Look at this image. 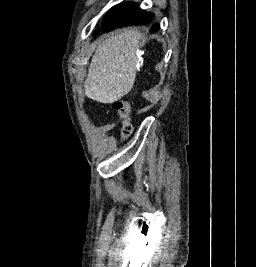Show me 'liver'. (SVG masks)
<instances>
[{
	"mask_svg": "<svg viewBox=\"0 0 256 267\" xmlns=\"http://www.w3.org/2000/svg\"><path fill=\"white\" fill-rule=\"evenodd\" d=\"M140 38L137 30L127 28L99 44L84 82L87 98L113 104L131 92L140 60Z\"/></svg>",
	"mask_w": 256,
	"mask_h": 267,
	"instance_id": "liver-1",
	"label": "liver"
}]
</instances>
